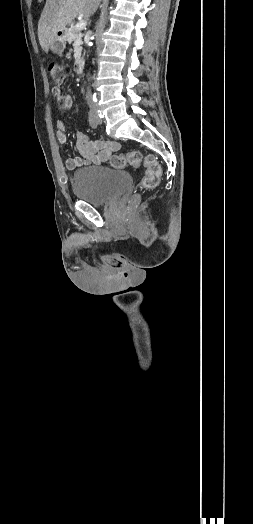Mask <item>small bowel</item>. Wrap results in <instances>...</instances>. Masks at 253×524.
<instances>
[{"mask_svg": "<svg viewBox=\"0 0 253 524\" xmlns=\"http://www.w3.org/2000/svg\"><path fill=\"white\" fill-rule=\"evenodd\" d=\"M52 94L56 97L58 106L61 109H68L72 106V97L70 95H63L60 87H53ZM56 136L61 145L68 146L65 124L61 119L56 121ZM76 144L80 155L70 157L66 160L65 165L69 170L91 163L97 165L103 164L110 158L112 153L118 151L120 148L119 143L116 141L91 140L84 132L76 133Z\"/></svg>", "mask_w": 253, "mask_h": 524, "instance_id": "small-bowel-1", "label": "small bowel"}]
</instances>
